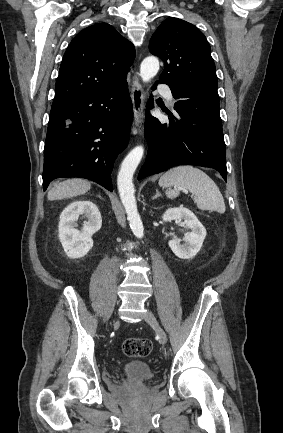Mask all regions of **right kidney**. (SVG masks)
<instances>
[{
  "label": "right kidney",
  "instance_id": "obj_1",
  "mask_svg": "<svg viewBox=\"0 0 283 433\" xmlns=\"http://www.w3.org/2000/svg\"><path fill=\"white\" fill-rule=\"evenodd\" d=\"M87 219L81 230H78L79 216ZM102 225L101 214L97 206L90 201H74L61 213L59 222V239L69 258H81L93 247L92 235Z\"/></svg>",
  "mask_w": 283,
  "mask_h": 433
}]
</instances>
